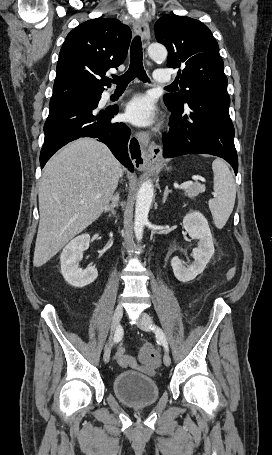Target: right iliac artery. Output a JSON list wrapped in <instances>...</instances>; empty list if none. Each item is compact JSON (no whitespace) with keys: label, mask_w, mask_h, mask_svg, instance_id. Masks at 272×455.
I'll use <instances>...</instances> for the list:
<instances>
[{"label":"right iliac artery","mask_w":272,"mask_h":455,"mask_svg":"<svg viewBox=\"0 0 272 455\" xmlns=\"http://www.w3.org/2000/svg\"><path fill=\"white\" fill-rule=\"evenodd\" d=\"M123 337V329L122 327L119 325L117 328H116V331H115V335H114V342L115 343H118Z\"/></svg>","instance_id":"obj_1"}]
</instances>
